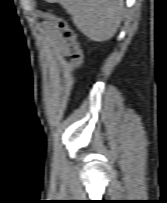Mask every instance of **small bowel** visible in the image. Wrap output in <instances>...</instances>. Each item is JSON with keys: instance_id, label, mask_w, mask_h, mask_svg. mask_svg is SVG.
Here are the masks:
<instances>
[{"instance_id": "1", "label": "small bowel", "mask_w": 167, "mask_h": 203, "mask_svg": "<svg viewBox=\"0 0 167 203\" xmlns=\"http://www.w3.org/2000/svg\"><path fill=\"white\" fill-rule=\"evenodd\" d=\"M42 27L48 34L50 41L54 45L55 49L64 56L70 55V49L67 43L62 39L58 29L50 22H43Z\"/></svg>"}]
</instances>
